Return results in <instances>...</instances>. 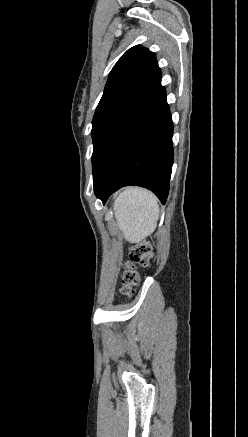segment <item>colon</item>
<instances>
[{"mask_svg": "<svg viewBox=\"0 0 248 437\" xmlns=\"http://www.w3.org/2000/svg\"><path fill=\"white\" fill-rule=\"evenodd\" d=\"M152 256V247L148 242H141L132 249L130 260L126 263L122 276L121 293L124 296H131L134 293L135 286L139 283V274L135 270V264L147 266Z\"/></svg>", "mask_w": 248, "mask_h": 437, "instance_id": "obj_1", "label": "colon"}]
</instances>
